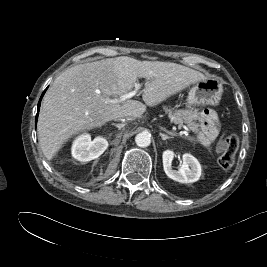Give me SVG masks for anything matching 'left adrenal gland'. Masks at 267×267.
<instances>
[{"label": "left adrenal gland", "instance_id": "left-adrenal-gland-1", "mask_svg": "<svg viewBox=\"0 0 267 267\" xmlns=\"http://www.w3.org/2000/svg\"><path fill=\"white\" fill-rule=\"evenodd\" d=\"M161 129H162L164 132H166L168 135H170V136H168V135H166V134L160 133V136H161L162 140L173 139L174 136H177L176 133H173V132H171V131H168L166 128H161Z\"/></svg>", "mask_w": 267, "mask_h": 267}]
</instances>
